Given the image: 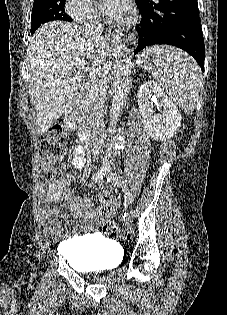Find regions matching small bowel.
<instances>
[{"mask_svg": "<svg viewBox=\"0 0 227 315\" xmlns=\"http://www.w3.org/2000/svg\"><path fill=\"white\" fill-rule=\"evenodd\" d=\"M85 164L84 148L78 145L72 150V165L74 169L81 170L85 167ZM72 182V175L70 173H64L62 177L51 182L47 187L42 184L38 186V193L44 205L42 210V222L45 226L48 228L57 227L59 220L63 218V215L57 208L50 206L56 203L62 196L70 197L71 203L69 209L75 220L81 217H87L104 223L115 214L116 204L109 196L104 203L108 212L106 215H101L100 209H97L91 200H83L71 195L68 188L71 186ZM102 216H105V219H102Z\"/></svg>", "mask_w": 227, "mask_h": 315, "instance_id": "obj_1", "label": "small bowel"}]
</instances>
